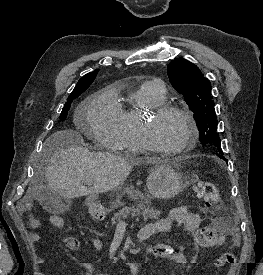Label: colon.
Returning a JSON list of instances; mask_svg holds the SVG:
<instances>
[{"mask_svg":"<svg viewBox=\"0 0 263 275\" xmlns=\"http://www.w3.org/2000/svg\"><path fill=\"white\" fill-rule=\"evenodd\" d=\"M197 196L205 201L208 206L218 205L221 202V195L216 185L209 181H198L194 186ZM53 222L57 225L60 218L55 216ZM198 241L204 247H215L224 244V235L214 226H207L200 230ZM235 257L231 253H224L216 260L217 267H224L233 264Z\"/></svg>","mask_w":263,"mask_h":275,"instance_id":"colon-1","label":"colon"}]
</instances>
